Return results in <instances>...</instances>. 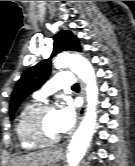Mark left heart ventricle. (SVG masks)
I'll return each instance as SVG.
<instances>
[{"label": "left heart ventricle", "instance_id": "b2bd125f", "mask_svg": "<svg viewBox=\"0 0 135 166\" xmlns=\"http://www.w3.org/2000/svg\"><path fill=\"white\" fill-rule=\"evenodd\" d=\"M37 128L41 135L47 139L60 135L56 127L55 111L43 114L37 121Z\"/></svg>", "mask_w": 135, "mask_h": 166}]
</instances>
